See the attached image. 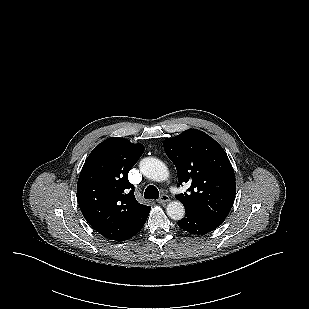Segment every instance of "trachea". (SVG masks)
Wrapping results in <instances>:
<instances>
[{"instance_id":"trachea-1","label":"trachea","mask_w":309,"mask_h":309,"mask_svg":"<svg viewBox=\"0 0 309 309\" xmlns=\"http://www.w3.org/2000/svg\"><path fill=\"white\" fill-rule=\"evenodd\" d=\"M144 197L146 199H158L159 191L155 186L149 185L144 192Z\"/></svg>"}]
</instances>
